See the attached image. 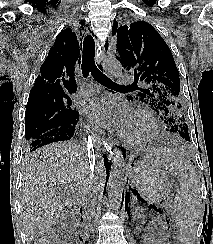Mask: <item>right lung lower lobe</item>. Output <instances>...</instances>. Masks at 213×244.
<instances>
[{"mask_svg": "<svg viewBox=\"0 0 213 244\" xmlns=\"http://www.w3.org/2000/svg\"><path fill=\"white\" fill-rule=\"evenodd\" d=\"M77 124H78V119L73 124L64 125V126L51 129L43 133L42 135L36 137L35 139H32L31 141H29V151L33 152L39 147L53 142L70 140L74 136V133L77 129ZM103 156H104V164L107 169V174H109L110 165L108 163L107 157L104 154Z\"/></svg>", "mask_w": 213, "mask_h": 244, "instance_id": "1", "label": "right lung lower lobe"}]
</instances>
